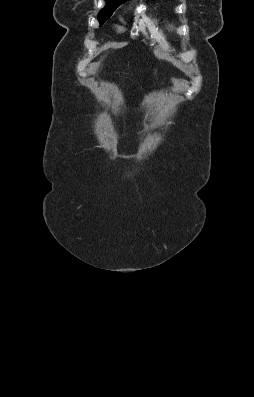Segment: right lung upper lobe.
Returning <instances> with one entry per match:
<instances>
[{"mask_svg":"<svg viewBox=\"0 0 254 397\" xmlns=\"http://www.w3.org/2000/svg\"><path fill=\"white\" fill-rule=\"evenodd\" d=\"M109 1H127V0H109Z\"/></svg>","mask_w":254,"mask_h":397,"instance_id":"obj_1","label":"right lung upper lobe"}]
</instances>
